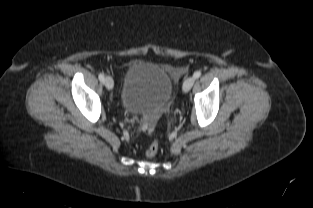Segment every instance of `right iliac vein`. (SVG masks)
I'll use <instances>...</instances> for the list:
<instances>
[{
    "instance_id": "63e3f726",
    "label": "right iliac vein",
    "mask_w": 313,
    "mask_h": 208,
    "mask_svg": "<svg viewBox=\"0 0 313 208\" xmlns=\"http://www.w3.org/2000/svg\"><path fill=\"white\" fill-rule=\"evenodd\" d=\"M104 84L108 90L113 89L114 83H113V79L110 76L105 77Z\"/></svg>"
}]
</instances>
